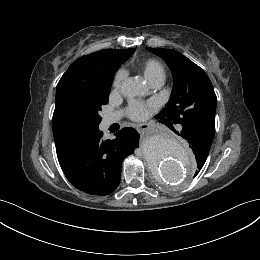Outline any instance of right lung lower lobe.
Segmentation results:
<instances>
[{"mask_svg": "<svg viewBox=\"0 0 260 260\" xmlns=\"http://www.w3.org/2000/svg\"><path fill=\"white\" fill-rule=\"evenodd\" d=\"M99 128L55 139L61 169L70 183L90 195L112 193L121 180V164L139 146L138 132L126 127L104 140Z\"/></svg>", "mask_w": 260, "mask_h": 260, "instance_id": "obj_1", "label": "right lung lower lobe"}]
</instances>
